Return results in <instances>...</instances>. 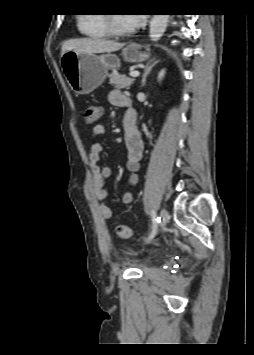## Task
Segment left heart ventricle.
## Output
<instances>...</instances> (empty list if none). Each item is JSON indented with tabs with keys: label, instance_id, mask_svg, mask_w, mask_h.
I'll return each instance as SVG.
<instances>
[{
	"label": "left heart ventricle",
	"instance_id": "b2bd125f",
	"mask_svg": "<svg viewBox=\"0 0 254 355\" xmlns=\"http://www.w3.org/2000/svg\"><path fill=\"white\" fill-rule=\"evenodd\" d=\"M115 24L119 29H131L132 25L130 24L128 18L122 14H114Z\"/></svg>",
	"mask_w": 254,
	"mask_h": 355
}]
</instances>
